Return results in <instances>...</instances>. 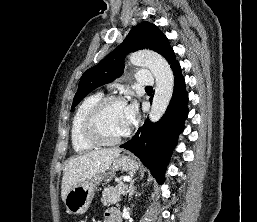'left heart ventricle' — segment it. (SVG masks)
<instances>
[{"instance_id": "1", "label": "left heart ventricle", "mask_w": 257, "mask_h": 222, "mask_svg": "<svg viewBox=\"0 0 257 222\" xmlns=\"http://www.w3.org/2000/svg\"><path fill=\"white\" fill-rule=\"evenodd\" d=\"M124 111L125 105L112 104L101 114L98 124L104 137L115 139L127 132Z\"/></svg>"}]
</instances>
